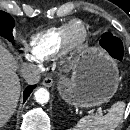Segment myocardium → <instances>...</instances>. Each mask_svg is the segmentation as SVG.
Masks as SVG:
<instances>
[{
  "instance_id": "myocardium-1",
  "label": "myocardium",
  "mask_w": 130,
  "mask_h": 130,
  "mask_svg": "<svg viewBox=\"0 0 130 130\" xmlns=\"http://www.w3.org/2000/svg\"><path fill=\"white\" fill-rule=\"evenodd\" d=\"M88 36L86 25L80 20H72L64 35L63 52L65 55H73L80 51Z\"/></svg>"
}]
</instances>
